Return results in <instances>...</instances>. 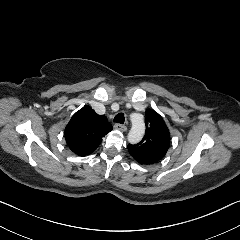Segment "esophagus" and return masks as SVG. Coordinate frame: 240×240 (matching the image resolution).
<instances>
[{
  "label": "esophagus",
  "mask_w": 240,
  "mask_h": 240,
  "mask_svg": "<svg viewBox=\"0 0 240 240\" xmlns=\"http://www.w3.org/2000/svg\"><path fill=\"white\" fill-rule=\"evenodd\" d=\"M114 128H115L116 130H120V131H122V132H125V131L127 130V127H126L125 125H123V124H120V123H116V124L114 125Z\"/></svg>",
  "instance_id": "obj_1"
}]
</instances>
